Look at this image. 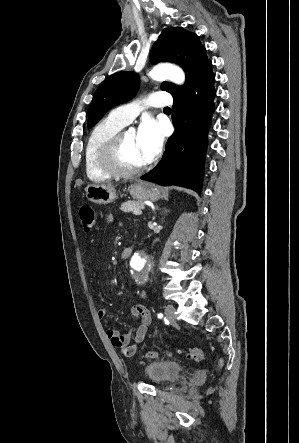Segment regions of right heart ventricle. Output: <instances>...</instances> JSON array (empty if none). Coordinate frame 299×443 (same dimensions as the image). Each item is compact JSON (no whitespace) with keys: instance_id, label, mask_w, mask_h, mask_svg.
Wrapping results in <instances>:
<instances>
[{"instance_id":"obj_1","label":"right heart ventricle","mask_w":299,"mask_h":443,"mask_svg":"<svg viewBox=\"0 0 299 443\" xmlns=\"http://www.w3.org/2000/svg\"><path fill=\"white\" fill-rule=\"evenodd\" d=\"M125 124L107 116L90 132L85 147V170L87 177L93 182H104L109 180L112 175L106 172L100 162V153L103 146L113 138Z\"/></svg>"}]
</instances>
